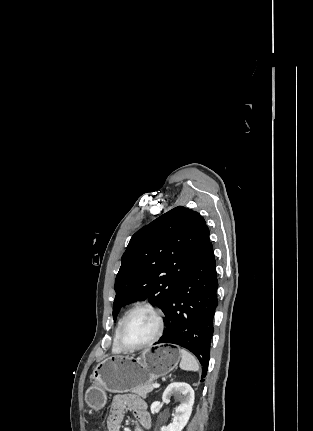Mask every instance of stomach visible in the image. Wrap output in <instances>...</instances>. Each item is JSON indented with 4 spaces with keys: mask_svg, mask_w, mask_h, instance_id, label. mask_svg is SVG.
<instances>
[{
    "mask_svg": "<svg viewBox=\"0 0 313 431\" xmlns=\"http://www.w3.org/2000/svg\"><path fill=\"white\" fill-rule=\"evenodd\" d=\"M180 350L171 346H153L140 356L114 355L105 358L92 374L93 385L85 393V400L94 410L102 409L107 401L106 392L132 391L152 383L171 372L179 363Z\"/></svg>",
    "mask_w": 313,
    "mask_h": 431,
    "instance_id": "stomach-1",
    "label": "stomach"
}]
</instances>
